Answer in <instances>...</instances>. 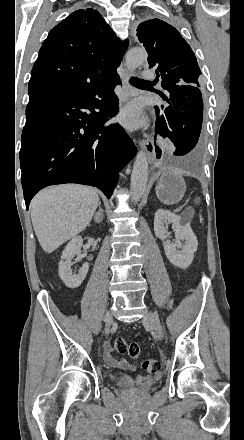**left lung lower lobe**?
Returning <instances> with one entry per match:
<instances>
[{"label": "left lung lower lobe", "instance_id": "obj_1", "mask_svg": "<svg viewBox=\"0 0 244 440\" xmlns=\"http://www.w3.org/2000/svg\"><path fill=\"white\" fill-rule=\"evenodd\" d=\"M168 95H161L170 105L160 114L156 109L155 131L163 137H169L176 149L173 155L182 156L189 153L198 143L202 120L203 101L199 86L161 83ZM163 109V105L161 106ZM161 150L156 147V157L160 158Z\"/></svg>", "mask_w": 244, "mask_h": 440}]
</instances>
